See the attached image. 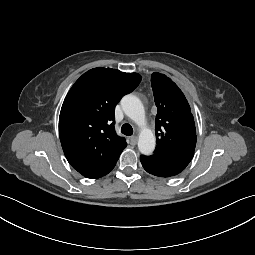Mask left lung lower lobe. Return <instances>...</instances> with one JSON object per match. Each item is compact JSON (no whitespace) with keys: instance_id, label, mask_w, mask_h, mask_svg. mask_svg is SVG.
<instances>
[{"instance_id":"obj_1","label":"left lung lower lobe","mask_w":255,"mask_h":255,"mask_svg":"<svg viewBox=\"0 0 255 255\" xmlns=\"http://www.w3.org/2000/svg\"><path fill=\"white\" fill-rule=\"evenodd\" d=\"M194 152L140 156L143 168L150 174L170 178L181 173L191 161Z\"/></svg>"}]
</instances>
